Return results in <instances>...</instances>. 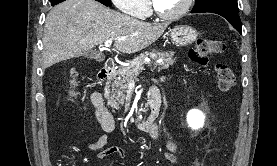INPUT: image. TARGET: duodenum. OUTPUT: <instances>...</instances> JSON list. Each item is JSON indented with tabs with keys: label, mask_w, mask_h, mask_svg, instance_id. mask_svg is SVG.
Returning a JSON list of instances; mask_svg holds the SVG:
<instances>
[{
	"label": "duodenum",
	"mask_w": 277,
	"mask_h": 166,
	"mask_svg": "<svg viewBox=\"0 0 277 166\" xmlns=\"http://www.w3.org/2000/svg\"><path fill=\"white\" fill-rule=\"evenodd\" d=\"M117 65L113 59H108L104 64L103 68L98 74V84L103 88L101 92H97V98L99 102V109L105 116H110V109L112 107L111 102L108 100L107 94L104 90L105 84L113 77L116 71ZM148 105L150 108L149 115L142 121L139 122L138 126L143 131H151L154 127V122L158 116L161 97L157 89H151L148 96Z\"/></svg>",
	"instance_id": "1"
}]
</instances>
